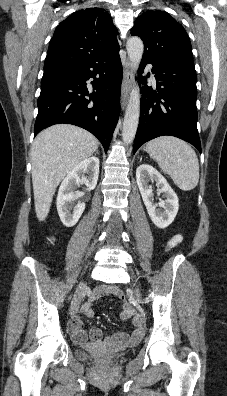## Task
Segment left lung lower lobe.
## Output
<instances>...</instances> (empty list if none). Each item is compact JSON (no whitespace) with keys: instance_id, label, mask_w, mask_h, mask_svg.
I'll return each instance as SVG.
<instances>
[{"instance_id":"left-lung-lower-lobe-1","label":"left lung lower lobe","mask_w":227,"mask_h":396,"mask_svg":"<svg viewBox=\"0 0 227 396\" xmlns=\"http://www.w3.org/2000/svg\"><path fill=\"white\" fill-rule=\"evenodd\" d=\"M150 63L155 74L156 91L146 86L141 92L140 118L133 154L145 142L163 135L185 140L201 152L197 130L196 71L180 64H171L143 56L140 81L146 84L142 70Z\"/></svg>"}]
</instances>
